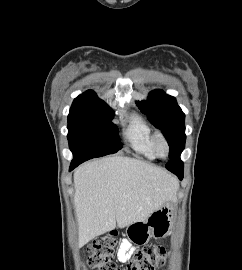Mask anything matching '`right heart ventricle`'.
Listing matches in <instances>:
<instances>
[{
    "instance_id": "obj_1",
    "label": "right heart ventricle",
    "mask_w": 242,
    "mask_h": 270,
    "mask_svg": "<svg viewBox=\"0 0 242 270\" xmlns=\"http://www.w3.org/2000/svg\"><path fill=\"white\" fill-rule=\"evenodd\" d=\"M124 137L130 147L137 153L148 159L156 158L152 148L154 133L143 118L133 116L124 131Z\"/></svg>"
}]
</instances>
